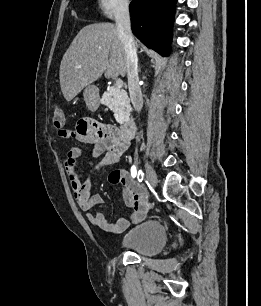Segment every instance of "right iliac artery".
<instances>
[{"instance_id": "obj_1", "label": "right iliac artery", "mask_w": 261, "mask_h": 306, "mask_svg": "<svg viewBox=\"0 0 261 306\" xmlns=\"http://www.w3.org/2000/svg\"><path fill=\"white\" fill-rule=\"evenodd\" d=\"M136 174H137L136 167H135V166H132V168H131V175H132V177H133V178L136 177ZM137 178H138V181H139V182H142V181H143L144 173L142 172V170H139V171H138Z\"/></svg>"}]
</instances>
